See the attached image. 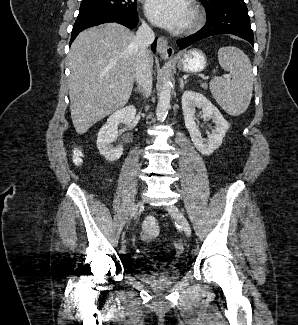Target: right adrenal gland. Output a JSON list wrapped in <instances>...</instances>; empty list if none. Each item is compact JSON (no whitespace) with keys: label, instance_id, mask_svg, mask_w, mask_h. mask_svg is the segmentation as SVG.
I'll return each mask as SVG.
<instances>
[{"label":"right adrenal gland","instance_id":"1","mask_svg":"<svg viewBox=\"0 0 298 325\" xmlns=\"http://www.w3.org/2000/svg\"><path fill=\"white\" fill-rule=\"evenodd\" d=\"M134 90H139V92H143V90H140L139 86H137V88H134Z\"/></svg>","mask_w":298,"mask_h":325}]
</instances>
